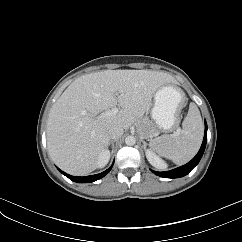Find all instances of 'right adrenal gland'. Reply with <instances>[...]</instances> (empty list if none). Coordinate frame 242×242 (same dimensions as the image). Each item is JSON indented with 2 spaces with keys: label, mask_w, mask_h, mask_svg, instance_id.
<instances>
[{
  "label": "right adrenal gland",
  "mask_w": 242,
  "mask_h": 242,
  "mask_svg": "<svg viewBox=\"0 0 242 242\" xmlns=\"http://www.w3.org/2000/svg\"><path fill=\"white\" fill-rule=\"evenodd\" d=\"M114 142L115 140L109 142V145H111L112 149L114 148Z\"/></svg>",
  "instance_id": "1"
}]
</instances>
